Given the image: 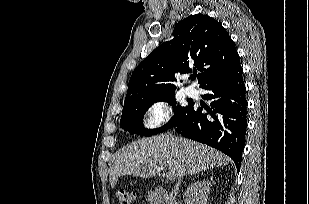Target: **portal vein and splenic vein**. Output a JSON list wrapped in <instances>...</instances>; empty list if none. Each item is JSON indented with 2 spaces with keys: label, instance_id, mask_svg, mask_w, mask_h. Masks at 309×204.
<instances>
[{
  "label": "portal vein and splenic vein",
  "instance_id": "18ae733b",
  "mask_svg": "<svg viewBox=\"0 0 309 204\" xmlns=\"http://www.w3.org/2000/svg\"><path fill=\"white\" fill-rule=\"evenodd\" d=\"M164 167V165H161V168H163ZM167 177L169 178V179H172L173 177H174V173L173 172H168L167 173Z\"/></svg>",
  "mask_w": 309,
  "mask_h": 204
}]
</instances>
